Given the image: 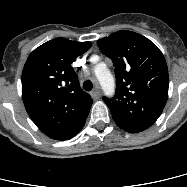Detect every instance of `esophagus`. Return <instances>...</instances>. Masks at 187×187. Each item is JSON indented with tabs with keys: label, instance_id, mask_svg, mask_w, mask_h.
<instances>
[{
	"label": "esophagus",
	"instance_id": "obj_1",
	"mask_svg": "<svg viewBox=\"0 0 187 187\" xmlns=\"http://www.w3.org/2000/svg\"><path fill=\"white\" fill-rule=\"evenodd\" d=\"M91 96L94 100H98L101 96V90L100 87H96L92 92H91Z\"/></svg>",
	"mask_w": 187,
	"mask_h": 187
}]
</instances>
